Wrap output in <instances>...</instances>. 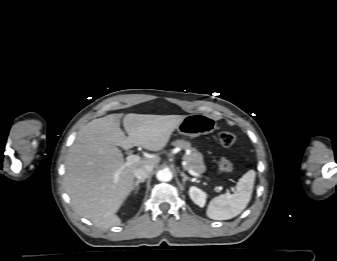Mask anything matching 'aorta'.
<instances>
[{"instance_id": "762f6f07", "label": "aorta", "mask_w": 337, "mask_h": 261, "mask_svg": "<svg viewBox=\"0 0 337 261\" xmlns=\"http://www.w3.org/2000/svg\"><path fill=\"white\" fill-rule=\"evenodd\" d=\"M156 177L159 181L168 182L172 179L173 175L169 169H162L157 172Z\"/></svg>"}]
</instances>
